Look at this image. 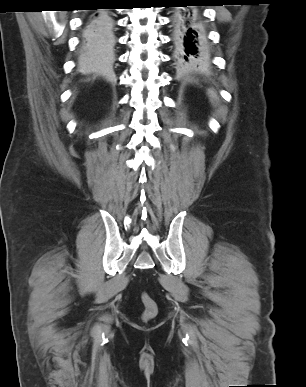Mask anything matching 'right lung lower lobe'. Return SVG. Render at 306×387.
I'll return each mask as SVG.
<instances>
[{"label":"right lung lower lobe","mask_w":306,"mask_h":387,"mask_svg":"<svg viewBox=\"0 0 306 387\" xmlns=\"http://www.w3.org/2000/svg\"><path fill=\"white\" fill-rule=\"evenodd\" d=\"M113 20L106 10H98L89 14L83 27L80 61L95 65L107 62L112 54Z\"/></svg>","instance_id":"right-lung-lower-lobe-1"}]
</instances>
